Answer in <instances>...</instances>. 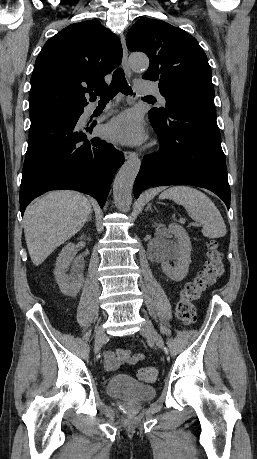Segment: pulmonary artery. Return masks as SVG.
<instances>
[{
	"instance_id": "obj_1",
	"label": "pulmonary artery",
	"mask_w": 257,
	"mask_h": 459,
	"mask_svg": "<svg viewBox=\"0 0 257 459\" xmlns=\"http://www.w3.org/2000/svg\"><path fill=\"white\" fill-rule=\"evenodd\" d=\"M146 83L145 81H138L137 84L140 85V84H144ZM138 92L140 93H143V94H154V95H157L158 96V99H159V102L162 104V105H165L166 104V100L165 98L158 92V90L156 88H153V87H138ZM95 108V105H91L90 106V111L93 110Z\"/></svg>"
}]
</instances>
